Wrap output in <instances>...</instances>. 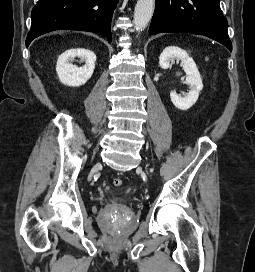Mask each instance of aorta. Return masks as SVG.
Returning <instances> with one entry per match:
<instances>
[{
    "instance_id": "obj_1",
    "label": "aorta",
    "mask_w": 255,
    "mask_h": 272,
    "mask_svg": "<svg viewBox=\"0 0 255 272\" xmlns=\"http://www.w3.org/2000/svg\"><path fill=\"white\" fill-rule=\"evenodd\" d=\"M155 0H138L134 10L133 24L136 31L146 28L152 18Z\"/></svg>"
}]
</instances>
